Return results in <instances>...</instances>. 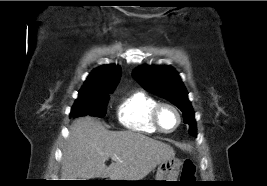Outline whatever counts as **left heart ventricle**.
<instances>
[{
    "label": "left heart ventricle",
    "instance_id": "obj_1",
    "mask_svg": "<svg viewBox=\"0 0 267 186\" xmlns=\"http://www.w3.org/2000/svg\"><path fill=\"white\" fill-rule=\"evenodd\" d=\"M160 123L165 130L173 129L177 123L176 113L171 108H163L160 113Z\"/></svg>",
    "mask_w": 267,
    "mask_h": 186
}]
</instances>
